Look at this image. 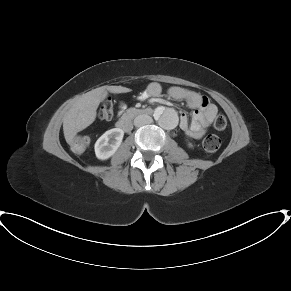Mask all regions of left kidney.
<instances>
[{
    "label": "left kidney",
    "instance_id": "1",
    "mask_svg": "<svg viewBox=\"0 0 291 291\" xmlns=\"http://www.w3.org/2000/svg\"><path fill=\"white\" fill-rule=\"evenodd\" d=\"M189 147H192V144L191 143H189Z\"/></svg>",
    "mask_w": 291,
    "mask_h": 291
}]
</instances>
